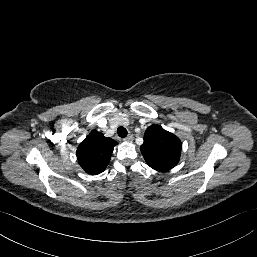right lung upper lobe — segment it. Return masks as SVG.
<instances>
[{
	"mask_svg": "<svg viewBox=\"0 0 257 257\" xmlns=\"http://www.w3.org/2000/svg\"><path fill=\"white\" fill-rule=\"evenodd\" d=\"M117 144L112 138L92 130L78 146L76 154L80 166L90 175L100 174L109 164L114 146Z\"/></svg>",
	"mask_w": 257,
	"mask_h": 257,
	"instance_id": "1",
	"label": "right lung upper lobe"
}]
</instances>
